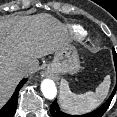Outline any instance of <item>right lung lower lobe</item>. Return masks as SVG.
<instances>
[{"mask_svg":"<svg viewBox=\"0 0 117 117\" xmlns=\"http://www.w3.org/2000/svg\"><path fill=\"white\" fill-rule=\"evenodd\" d=\"M26 81L27 79L20 81L10 100L2 109H0V117H12L15 114L18 102V93Z\"/></svg>","mask_w":117,"mask_h":117,"instance_id":"obj_1","label":"right lung lower lobe"}]
</instances>
